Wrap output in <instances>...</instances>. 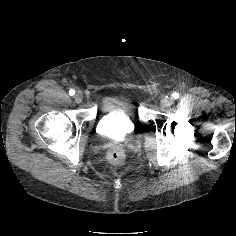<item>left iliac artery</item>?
Segmentation results:
<instances>
[{
	"mask_svg": "<svg viewBox=\"0 0 236 236\" xmlns=\"http://www.w3.org/2000/svg\"><path fill=\"white\" fill-rule=\"evenodd\" d=\"M172 96H173V98L177 99V98L179 97V94L176 93V92H174V93L172 94Z\"/></svg>",
	"mask_w": 236,
	"mask_h": 236,
	"instance_id": "obj_1",
	"label": "left iliac artery"
}]
</instances>
